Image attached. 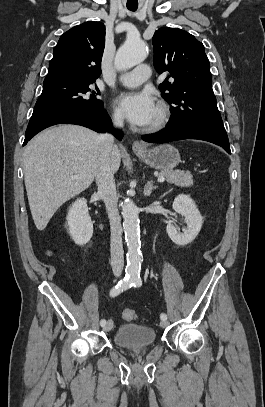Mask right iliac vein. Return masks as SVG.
Listing matches in <instances>:
<instances>
[{
    "instance_id": "obj_1",
    "label": "right iliac vein",
    "mask_w": 265,
    "mask_h": 407,
    "mask_svg": "<svg viewBox=\"0 0 265 407\" xmlns=\"http://www.w3.org/2000/svg\"><path fill=\"white\" fill-rule=\"evenodd\" d=\"M113 327V322L112 320H108L107 323L104 325L103 330L104 331H110Z\"/></svg>"
}]
</instances>
